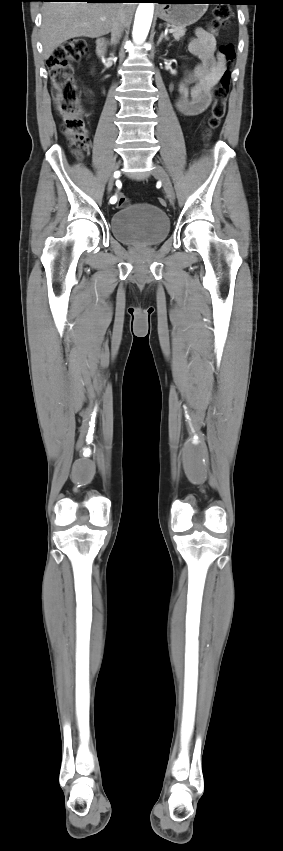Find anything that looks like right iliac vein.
I'll list each match as a JSON object with an SVG mask.
<instances>
[{
	"label": "right iliac vein",
	"instance_id": "right-iliac-vein-1",
	"mask_svg": "<svg viewBox=\"0 0 283 851\" xmlns=\"http://www.w3.org/2000/svg\"><path fill=\"white\" fill-rule=\"evenodd\" d=\"M117 167H118V166H117ZM117 167H116V168H117ZM113 185H114V177H111V178L109 179V182H108V192H110V191L112 190Z\"/></svg>",
	"mask_w": 283,
	"mask_h": 851
}]
</instances>
